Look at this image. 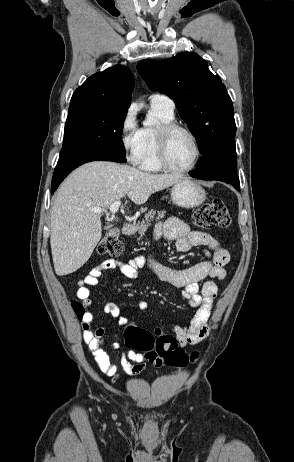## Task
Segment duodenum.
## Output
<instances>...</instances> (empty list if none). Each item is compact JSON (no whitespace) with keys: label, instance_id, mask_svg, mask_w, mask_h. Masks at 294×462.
I'll return each mask as SVG.
<instances>
[{"label":"duodenum","instance_id":"obj_1","mask_svg":"<svg viewBox=\"0 0 294 462\" xmlns=\"http://www.w3.org/2000/svg\"><path fill=\"white\" fill-rule=\"evenodd\" d=\"M122 234L123 235H130L133 233L134 231V226L131 224V223H125L123 226H122Z\"/></svg>","mask_w":294,"mask_h":462}]
</instances>
